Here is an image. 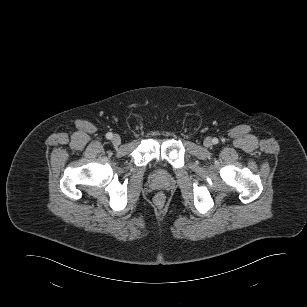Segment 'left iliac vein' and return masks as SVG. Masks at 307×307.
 Returning <instances> with one entry per match:
<instances>
[{
    "mask_svg": "<svg viewBox=\"0 0 307 307\" xmlns=\"http://www.w3.org/2000/svg\"><path fill=\"white\" fill-rule=\"evenodd\" d=\"M212 145V141L210 138L205 139L204 141V146L210 147Z\"/></svg>",
    "mask_w": 307,
    "mask_h": 307,
    "instance_id": "obj_1",
    "label": "left iliac vein"
}]
</instances>
